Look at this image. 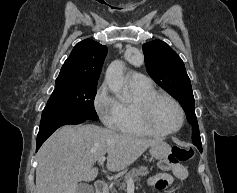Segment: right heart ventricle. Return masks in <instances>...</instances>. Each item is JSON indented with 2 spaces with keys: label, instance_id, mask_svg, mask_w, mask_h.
<instances>
[{
  "label": "right heart ventricle",
  "instance_id": "e07e8e85",
  "mask_svg": "<svg viewBox=\"0 0 237 193\" xmlns=\"http://www.w3.org/2000/svg\"><path fill=\"white\" fill-rule=\"evenodd\" d=\"M130 91L133 95V101L130 103H121V119L118 131L133 136H152L153 134L145 131L137 122L136 107L137 104L156 93L152 84L136 85L130 83Z\"/></svg>",
  "mask_w": 237,
  "mask_h": 193
}]
</instances>
